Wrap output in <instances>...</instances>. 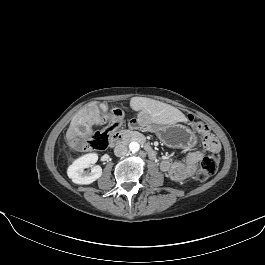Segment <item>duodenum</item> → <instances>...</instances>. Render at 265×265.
<instances>
[{
  "mask_svg": "<svg viewBox=\"0 0 265 265\" xmlns=\"http://www.w3.org/2000/svg\"><path fill=\"white\" fill-rule=\"evenodd\" d=\"M129 138L142 142L144 144V148L148 156L153 160L157 158L156 151L150 145L144 142L143 136L141 134L134 133L129 130H123V131L115 133L110 139V145L112 147H115L121 144L124 140L129 139Z\"/></svg>",
  "mask_w": 265,
  "mask_h": 265,
  "instance_id": "obj_1",
  "label": "duodenum"
}]
</instances>
